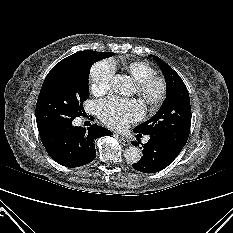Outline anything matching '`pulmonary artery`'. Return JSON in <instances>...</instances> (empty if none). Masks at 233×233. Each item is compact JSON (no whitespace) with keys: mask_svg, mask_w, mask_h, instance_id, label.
<instances>
[{"mask_svg":"<svg viewBox=\"0 0 233 233\" xmlns=\"http://www.w3.org/2000/svg\"><path fill=\"white\" fill-rule=\"evenodd\" d=\"M147 141H148V138H145V139H144V142H147Z\"/></svg>","mask_w":233,"mask_h":233,"instance_id":"obj_1","label":"pulmonary artery"}]
</instances>
